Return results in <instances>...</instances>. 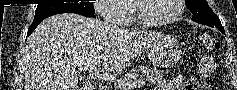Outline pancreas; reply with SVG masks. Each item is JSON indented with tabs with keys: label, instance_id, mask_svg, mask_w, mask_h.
I'll return each instance as SVG.
<instances>
[{
	"label": "pancreas",
	"instance_id": "1",
	"mask_svg": "<svg viewBox=\"0 0 237 90\" xmlns=\"http://www.w3.org/2000/svg\"><path fill=\"white\" fill-rule=\"evenodd\" d=\"M164 72H161V70H150V68H143V66H137V68H133L129 74H125L124 78L126 80H133V78H138V80H141V82H151V84H154V82H159V80H162Z\"/></svg>",
	"mask_w": 237,
	"mask_h": 90
}]
</instances>
